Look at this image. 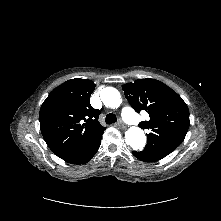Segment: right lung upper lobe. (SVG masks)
Masks as SVG:
<instances>
[{"instance_id": "1", "label": "right lung upper lobe", "mask_w": 221, "mask_h": 221, "mask_svg": "<svg viewBox=\"0 0 221 221\" xmlns=\"http://www.w3.org/2000/svg\"><path fill=\"white\" fill-rule=\"evenodd\" d=\"M96 84L87 79H71L55 88L43 102L40 129L55 155L64 159L104 132L98 122L100 110L90 105Z\"/></svg>"}]
</instances>
